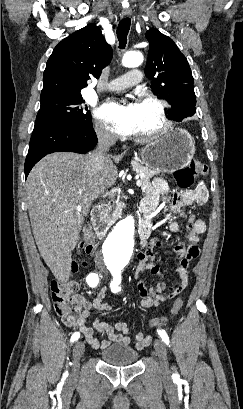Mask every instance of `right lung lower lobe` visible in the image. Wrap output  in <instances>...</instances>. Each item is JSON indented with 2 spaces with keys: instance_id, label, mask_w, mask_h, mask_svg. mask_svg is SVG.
<instances>
[{
  "instance_id": "obj_1",
  "label": "right lung lower lobe",
  "mask_w": 243,
  "mask_h": 409,
  "mask_svg": "<svg viewBox=\"0 0 243 409\" xmlns=\"http://www.w3.org/2000/svg\"><path fill=\"white\" fill-rule=\"evenodd\" d=\"M96 143L97 137L92 124L72 127L54 121L37 120L25 160V177L28 176L32 167L47 154L60 151L83 154L93 149Z\"/></svg>"
}]
</instances>
